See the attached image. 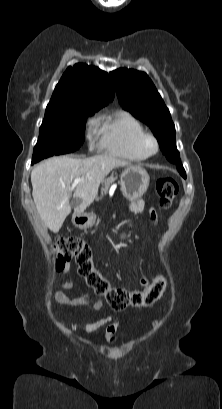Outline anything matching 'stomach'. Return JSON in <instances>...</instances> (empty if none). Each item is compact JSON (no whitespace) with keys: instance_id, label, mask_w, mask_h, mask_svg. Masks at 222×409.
Listing matches in <instances>:
<instances>
[{"instance_id":"0dacf381","label":"stomach","mask_w":222,"mask_h":409,"mask_svg":"<svg viewBox=\"0 0 222 409\" xmlns=\"http://www.w3.org/2000/svg\"><path fill=\"white\" fill-rule=\"evenodd\" d=\"M150 177L140 166H128L121 174L120 186L123 195L129 201L140 198L149 186ZM96 216L87 212H74L72 223L76 228L87 229L95 224Z\"/></svg>"}]
</instances>
